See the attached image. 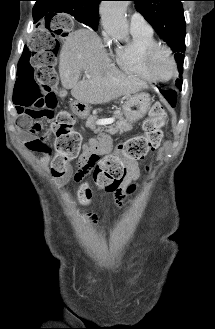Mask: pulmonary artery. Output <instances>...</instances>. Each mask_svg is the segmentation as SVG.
I'll list each match as a JSON object with an SVG mask.
<instances>
[{"label":"pulmonary artery","instance_id":"e3ab8cb5","mask_svg":"<svg viewBox=\"0 0 215 329\" xmlns=\"http://www.w3.org/2000/svg\"><path fill=\"white\" fill-rule=\"evenodd\" d=\"M131 32L152 33L151 25L146 21L143 15L139 12H134L130 16Z\"/></svg>","mask_w":215,"mask_h":329}]
</instances>
